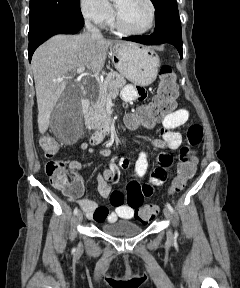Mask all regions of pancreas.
<instances>
[{
	"instance_id": "cf45deb5",
	"label": "pancreas",
	"mask_w": 240,
	"mask_h": 288,
	"mask_svg": "<svg viewBox=\"0 0 240 288\" xmlns=\"http://www.w3.org/2000/svg\"><path fill=\"white\" fill-rule=\"evenodd\" d=\"M125 84L126 80L124 77L115 71H110L107 73L103 81L96 82L95 88L97 96L92 102V105L90 106L85 117L87 119H91L92 117L105 114V105L109 96L108 91H114L122 88Z\"/></svg>"
}]
</instances>
